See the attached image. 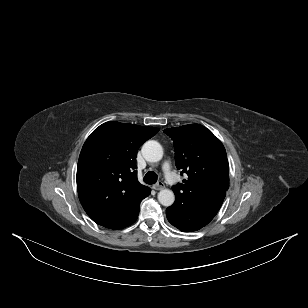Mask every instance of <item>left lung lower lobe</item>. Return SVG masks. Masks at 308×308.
<instances>
[{
	"mask_svg": "<svg viewBox=\"0 0 308 308\" xmlns=\"http://www.w3.org/2000/svg\"><path fill=\"white\" fill-rule=\"evenodd\" d=\"M226 193L181 207L174 203L166 210L168 221L182 232H192L207 225L220 209Z\"/></svg>",
	"mask_w": 308,
	"mask_h": 308,
	"instance_id": "obj_1",
	"label": "left lung lower lobe"
}]
</instances>
